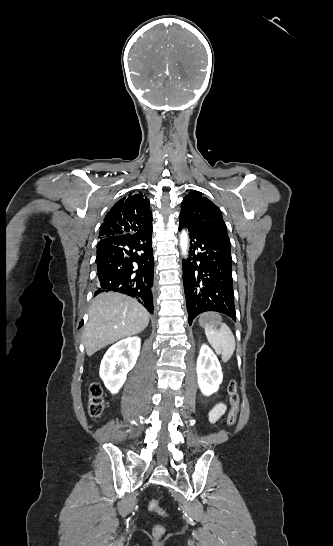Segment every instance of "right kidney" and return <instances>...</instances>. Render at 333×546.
I'll return each instance as SVG.
<instances>
[{"label":"right kidney","instance_id":"ca27d5eb","mask_svg":"<svg viewBox=\"0 0 333 546\" xmlns=\"http://www.w3.org/2000/svg\"><path fill=\"white\" fill-rule=\"evenodd\" d=\"M140 345L139 337H129L119 341L105 353L99 374L112 394L118 393L126 380L127 373L136 364Z\"/></svg>","mask_w":333,"mask_h":546}]
</instances>
